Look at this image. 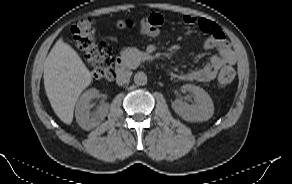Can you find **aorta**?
<instances>
[{
  "instance_id": "aorta-1",
  "label": "aorta",
  "mask_w": 292,
  "mask_h": 184,
  "mask_svg": "<svg viewBox=\"0 0 292 184\" xmlns=\"http://www.w3.org/2000/svg\"><path fill=\"white\" fill-rule=\"evenodd\" d=\"M147 80V75L142 71H139L134 75V83L136 85L143 86L147 83Z\"/></svg>"
}]
</instances>
